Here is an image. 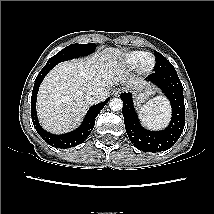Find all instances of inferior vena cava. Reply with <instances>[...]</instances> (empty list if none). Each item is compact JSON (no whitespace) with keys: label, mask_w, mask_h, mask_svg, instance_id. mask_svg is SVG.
Masks as SVG:
<instances>
[{"label":"inferior vena cava","mask_w":214,"mask_h":214,"mask_svg":"<svg viewBox=\"0 0 214 214\" xmlns=\"http://www.w3.org/2000/svg\"><path fill=\"white\" fill-rule=\"evenodd\" d=\"M108 96V91L104 88L93 87L90 88L86 93V99L89 103H99L104 101Z\"/></svg>","instance_id":"inferior-vena-cava-1"}]
</instances>
